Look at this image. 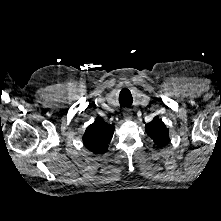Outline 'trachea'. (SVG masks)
Here are the masks:
<instances>
[{
  "mask_svg": "<svg viewBox=\"0 0 221 221\" xmlns=\"http://www.w3.org/2000/svg\"><path fill=\"white\" fill-rule=\"evenodd\" d=\"M120 107H130L132 105V97H119Z\"/></svg>",
  "mask_w": 221,
  "mask_h": 221,
  "instance_id": "1",
  "label": "trachea"
}]
</instances>
